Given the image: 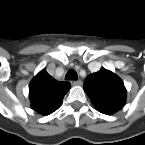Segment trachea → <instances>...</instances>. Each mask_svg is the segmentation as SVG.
<instances>
[{
  "label": "trachea",
  "instance_id": "3493384b",
  "mask_svg": "<svg viewBox=\"0 0 145 145\" xmlns=\"http://www.w3.org/2000/svg\"><path fill=\"white\" fill-rule=\"evenodd\" d=\"M65 79L77 80V79H78L77 72H76L74 69H70V70L66 73Z\"/></svg>",
  "mask_w": 145,
  "mask_h": 145
}]
</instances>
